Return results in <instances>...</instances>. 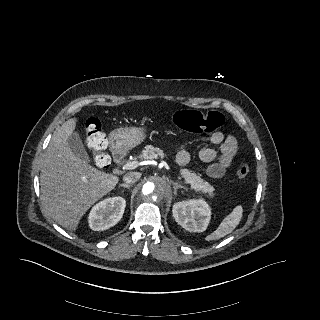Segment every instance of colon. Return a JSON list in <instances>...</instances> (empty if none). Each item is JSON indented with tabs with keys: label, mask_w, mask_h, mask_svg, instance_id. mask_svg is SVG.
I'll use <instances>...</instances> for the list:
<instances>
[{
	"label": "colon",
	"mask_w": 320,
	"mask_h": 320,
	"mask_svg": "<svg viewBox=\"0 0 320 320\" xmlns=\"http://www.w3.org/2000/svg\"><path fill=\"white\" fill-rule=\"evenodd\" d=\"M174 124L181 130L192 133L211 132L221 128L225 123L224 116L219 112H202L194 109L179 110L173 115ZM86 143L95 153L97 164L107 167L109 159L103 153L107 145L102 124L97 118H89L86 122ZM249 175V167L245 162L239 163L236 176L244 180Z\"/></svg>",
	"instance_id": "1"
}]
</instances>
